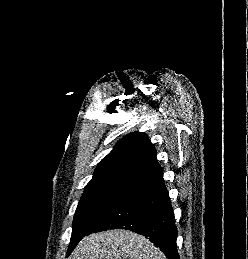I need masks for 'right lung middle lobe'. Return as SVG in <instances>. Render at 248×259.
Here are the masks:
<instances>
[{
	"label": "right lung middle lobe",
	"mask_w": 248,
	"mask_h": 259,
	"mask_svg": "<svg viewBox=\"0 0 248 259\" xmlns=\"http://www.w3.org/2000/svg\"><path fill=\"white\" fill-rule=\"evenodd\" d=\"M131 186L128 183L108 182L85 187L74 215L67 254Z\"/></svg>",
	"instance_id": "1"
}]
</instances>
